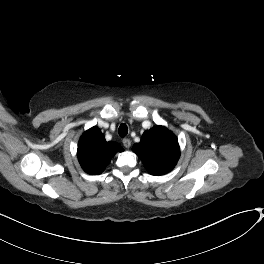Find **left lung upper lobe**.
Instances as JSON below:
<instances>
[{
	"instance_id": "obj_1",
	"label": "left lung upper lobe",
	"mask_w": 264,
	"mask_h": 264,
	"mask_svg": "<svg viewBox=\"0 0 264 264\" xmlns=\"http://www.w3.org/2000/svg\"><path fill=\"white\" fill-rule=\"evenodd\" d=\"M132 150L152 175L170 172L180 157L177 137L163 126L146 131Z\"/></svg>"
}]
</instances>
